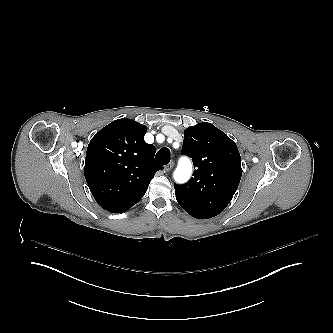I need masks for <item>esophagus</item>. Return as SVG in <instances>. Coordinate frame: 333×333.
I'll return each mask as SVG.
<instances>
[{"label":"esophagus","mask_w":333,"mask_h":333,"mask_svg":"<svg viewBox=\"0 0 333 333\" xmlns=\"http://www.w3.org/2000/svg\"><path fill=\"white\" fill-rule=\"evenodd\" d=\"M173 166H174V162L173 161H171L166 167H165V171H170L172 168H173Z\"/></svg>","instance_id":"obj_1"}]
</instances>
